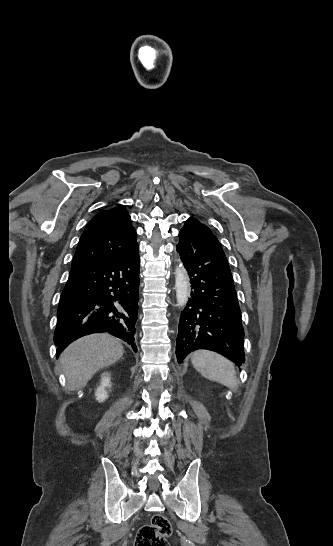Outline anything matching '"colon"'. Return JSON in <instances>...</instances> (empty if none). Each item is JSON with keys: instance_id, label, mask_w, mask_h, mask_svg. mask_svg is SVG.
<instances>
[{"instance_id": "obj_1", "label": "colon", "mask_w": 333, "mask_h": 546, "mask_svg": "<svg viewBox=\"0 0 333 546\" xmlns=\"http://www.w3.org/2000/svg\"><path fill=\"white\" fill-rule=\"evenodd\" d=\"M172 532L169 519L157 514L151 523L141 527L136 535L135 546H169L167 538Z\"/></svg>"}]
</instances>
